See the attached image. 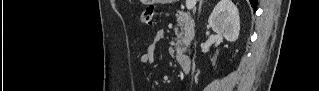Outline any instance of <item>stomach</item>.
Wrapping results in <instances>:
<instances>
[{
  "mask_svg": "<svg viewBox=\"0 0 319 91\" xmlns=\"http://www.w3.org/2000/svg\"><path fill=\"white\" fill-rule=\"evenodd\" d=\"M159 1L166 2L167 0H144V2L146 4H155V3L159 2Z\"/></svg>",
  "mask_w": 319,
  "mask_h": 91,
  "instance_id": "stomach-1",
  "label": "stomach"
}]
</instances>
